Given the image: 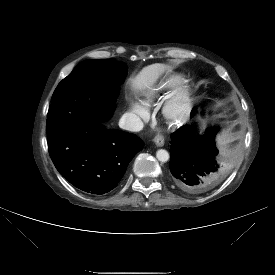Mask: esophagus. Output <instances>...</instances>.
<instances>
[{"label": "esophagus", "instance_id": "34e87169", "mask_svg": "<svg viewBox=\"0 0 275 275\" xmlns=\"http://www.w3.org/2000/svg\"><path fill=\"white\" fill-rule=\"evenodd\" d=\"M154 142L158 147H161L164 145V137L158 134L154 137Z\"/></svg>", "mask_w": 275, "mask_h": 275}]
</instances>
